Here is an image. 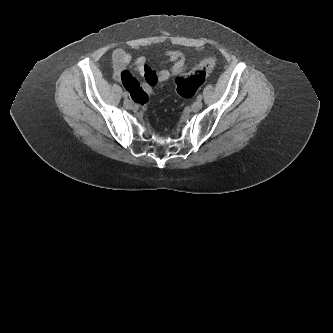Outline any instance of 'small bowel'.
I'll return each instance as SVG.
<instances>
[{"label": "small bowel", "mask_w": 333, "mask_h": 333, "mask_svg": "<svg viewBox=\"0 0 333 333\" xmlns=\"http://www.w3.org/2000/svg\"><path fill=\"white\" fill-rule=\"evenodd\" d=\"M165 57L173 63L172 66L156 71L149 65L145 56L138 57L132 63V57L128 52L116 49L112 53L114 78L121 81L131 92V97L135 103L144 105L148 96L159 83L166 82L181 74L186 68L185 55L182 51L169 50L165 53ZM131 64H133L134 70L143 78L140 85L128 70ZM139 86L140 88H138Z\"/></svg>", "instance_id": "small-bowel-1"}]
</instances>
